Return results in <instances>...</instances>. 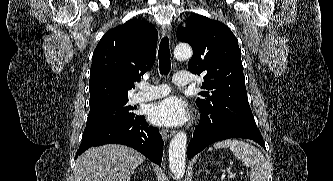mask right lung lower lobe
<instances>
[{"instance_id": "1", "label": "right lung lower lobe", "mask_w": 333, "mask_h": 181, "mask_svg": "<svg viewBox=\"0 0 333 181\" xmlns=\"http://www.w3.org/2000/svg\"><path fill=\"white\" fill-rule=\"evenodd\" d=\"M112 143L132 147L152 162L161 165L163 140L159 130L149 126L145 117L141 115L84 132L75 158L90 147Z\"/></svg>"}]
</instances>
